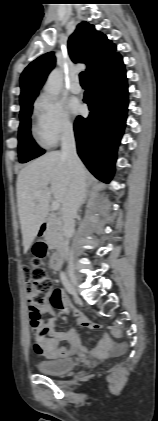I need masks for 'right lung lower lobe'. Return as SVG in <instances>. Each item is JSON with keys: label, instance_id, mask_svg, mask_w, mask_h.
Segmentation results:
<instances>
[{"label": "right lung lower lobe", "instance_id": "98d812e1", "mask_svg": "<svg viewBox=\"0 0 158 421\" xmlns=\"http://www.w3.org/2000/svg\"><path fill=\"white\" fill-rule=\"evenodd\" d=\"M84 102L90 114L78 116L74 124L78 155L92 174L108 183L127 117L128 88L120 54L89 76Z\"/></svg>", "mask_w": 158, "mask_h": 421}]
</instances>
